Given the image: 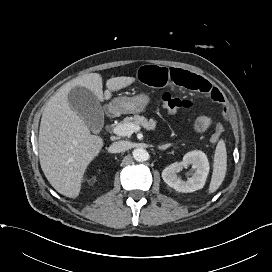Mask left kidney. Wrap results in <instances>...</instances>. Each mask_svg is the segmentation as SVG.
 Wrapping results in <instances>:
<instances>
[{"mask_svg": "<svg viewBox=\"0 0 272 272\" xmlns=\"http://www.w3.org/2000/svg\"><path fill=\"white\" fill-rule=\"evenodd\" d=\"M192 165L195 173L186 181L181 180L177 173ZM209 173V162L204 152L195 150L184 155L182 162L167 166L162 172L164 182L178 192H194L203 188Z\"/></svg>", "mask_w": 272, "mask_h": 272, "instance_id": "5707ae66", "label": "left kidney"}]
</instances>
